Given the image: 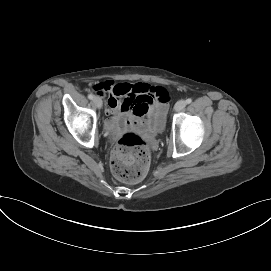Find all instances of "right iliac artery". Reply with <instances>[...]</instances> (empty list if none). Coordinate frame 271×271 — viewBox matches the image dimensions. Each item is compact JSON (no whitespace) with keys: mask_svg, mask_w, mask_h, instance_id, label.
Instances as JSON below:
<instances>
[{"mask_svg":"<svg viewBox=\"0 0 271 271\" xmlns=\"http://www.w3.org/2000/svg\"><path fill=\"white\" fill-rule=\"evenodd\" d=\"M88 98H89L90 100H93L94 95H93V94H89V95H88Z\"/></svg>","mask_w":271,"mask_h":271,"instance_id":"82829eb1","label":"right iliac artery"}]
</instances>
